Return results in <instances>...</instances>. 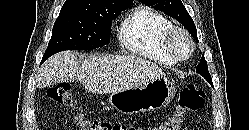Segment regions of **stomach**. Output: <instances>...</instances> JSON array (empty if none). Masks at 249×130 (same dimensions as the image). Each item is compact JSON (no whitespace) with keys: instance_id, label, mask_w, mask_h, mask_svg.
Listing matches in <instances>:
<instances>
[{"instance_id":"0dacf381","label":"stomach","mask_w":249,"mask_h":130,"mask_svg":"<svg viewBox=\"0 0 249 130\" xmlns=\"http://www.w3.org/2000/svg\"><path fill=\"white\" fill-rule=\"evenodd\" d=\"M175 92L173 82L159 78L138 87L112 93L109 103L123 114L149 112L168 105L174 98Z\"/></svg>"}]
</instances>
